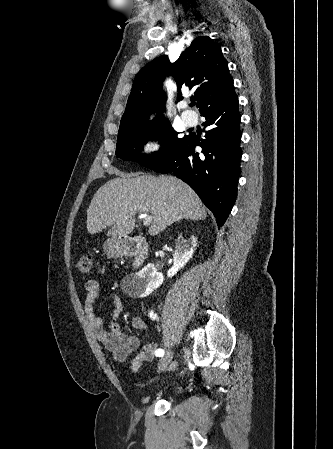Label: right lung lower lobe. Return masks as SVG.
Listing matches in <instances>:
<instances>
[{
  "instance_id": "right-lung-lower-lobe-1",
  "label": "right lung lower lobe",
  "mask_w": 333,
  "mask_h": 449,
  "mask_svg": "<svg viewBox=\"0 0 333 449\" xmlns=\"http://www.w3.org/2000/svg\"><path fill=\"white\" fill-rule=\"evenodd\" d=\"M205 117V139L189 134L163 163L153 168L159 173H174L186 182L213 212L221 227L237 196L240 175L241 131L238 97L234 90L208 103ZM202 148L201 153L195 147Z\"/></svg>"
}]
</instances>
